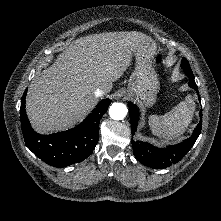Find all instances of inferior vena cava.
I'll list each match as a JSON object with an SVG mask.
<instances>
[{
	"mask_svg": "<svg viewBox=\"0 0 221 221\" xmlns=\"http://www.w3.org/2000/svg\"><path fill=\"white\" fill-rule=\"evenodd\" d=\"M95 96L96 97H100V96H103L104 94H105V92L102 90V89H100V88H97L96 90H95Z\"/></svg>",
	"mask_w": 221,
	"mask_h": 221,
	"instance_id": "obj_1",
	"label": "inferior vena cava"
}]
</instances>
